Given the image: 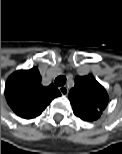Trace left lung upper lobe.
<instances>
[{
  "mask_svg": "<svg viewBox=\"0 0 122 154\" xmlns=\"http://www.w3.org/2000/svg\"><path fill=\"white\" fill-rule=\"evenodd\" d=\"M69 100L75 115L85 121H94L106 108L109 97L104 87L92 75H88L75 79Z\"/></svg>",
  "mask_w": 122,
  "mask_h": 154,
  "instance_id": "obj_1",
  "label": "left lung upper lobe"
}]
</instances>
